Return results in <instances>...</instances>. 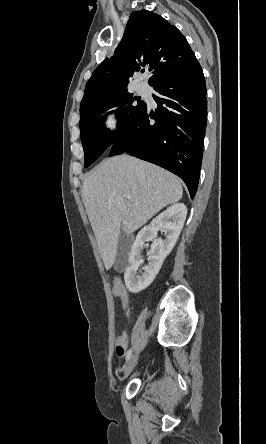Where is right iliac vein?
Returning a JSON list of instances; mask_svg holds the SVG:
<instances>
[{
	"mask_svg": "<svg viewBox=\"0 0 266 444\" xmlns=\"http://www.w3.org/2000/svg\"><path fill=\"white\" fill-rule=\"evenodd\" d=\"M138 357H139V352L136 351L128 360L126 366H125V370H124V378H127L130 373L132 372V370L134 369L137 361H138Z\"/></svg>",
	"mask_w": 266,
	"mask_h": 444,
	"instance_id": "obj_1",
	"label": "right iliac vein"
}]
</instances>
